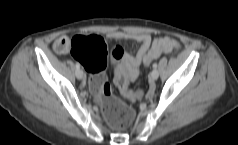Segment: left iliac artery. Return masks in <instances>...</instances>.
Returning a JSON list of instances; mask_svg holds the SVG:
<instances>
[{"label": "left iliac artery", "instance_id": "44dca946", "mask_svg": "<svg viewBox=\"0 0 238 145\" xmlns=\"http://www.w3.org/2000/svg\"><path fill=\"white\" fill-rule=\"evenodd\" d=\"M157 66H158L157 63H154V64H153V68H154V69H156Z\"/></svg>", "mask_w": 238, "mask_h": 145}]
</instances>
